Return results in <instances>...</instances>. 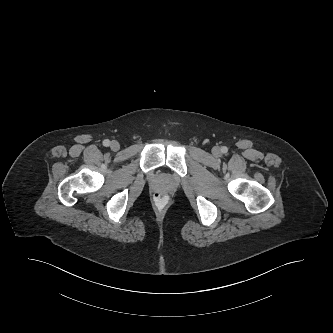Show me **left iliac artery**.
Listing matches in <instances>:
<instances>
[{
  "mask_svg": "<svg viewBox=\"0 0 333 333\" xmlns=\"http://www.w3.org/2000/svg\"><path fill=\"white\" fill-rule=\"evenodd\" d=\"M221 150H222L223 153H227L228 148L226 146H223Z\"/></svg>",
  "mask_w": 333,
  "mask_h": 333,
  "instance_id": "obj_1",
  "label": "left iliac artery"
}]
</instances>
